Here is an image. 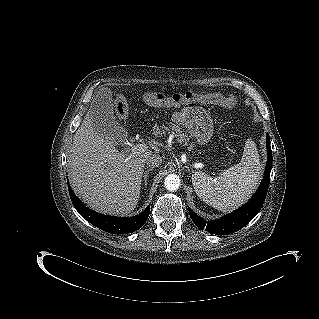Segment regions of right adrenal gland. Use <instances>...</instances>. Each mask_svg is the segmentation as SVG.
Wrapping results in <instances>:
<instances>
[{
  "mask_svg": "<svg viewBox=\"0 0 319 319\" xmlns=\"http://www.w3.org/2000/svg\"><path fill=\"white\" fill-rule=\"evenodd\" d=\"M153 169H148V170H146L145 171V173H144V179H143V184H144V186L146 187L147 186V177H148V175H149V172L150 171H152Z\"/></svg>",
  "mask_w": 319,
  "mask_h": 319,
  "instance_id": "obj_1",
  "label": "right adrenal gland"
}]
</instances>
